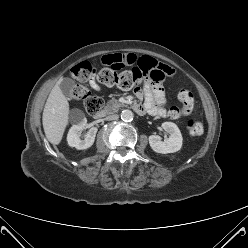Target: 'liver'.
Returning a JSON list of instances; mask_svg holds the SVG:
<instances>
[{"label":"liver","mask_w":248,"mask_h":248,"mask_svg":"<svg viewBox=\"0 0 248 248\" xmlns=\"http://www.w3.org/2000/svg\"><path fill=\"white\" fill-rule=\"evenodd\" d=\"M63 78L52 88L46 101L42 123L46 138L53 145H58L69 121V103L60 89Z\"/></svg>","instance_id":"obj_1"}]
</instances>
